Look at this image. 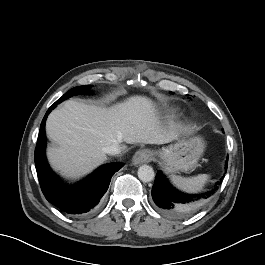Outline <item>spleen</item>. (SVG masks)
Instances as JSON below:
<instances>
[{
	"label": "spleen",
	"instance_id": "obj_1",
	"mask_svg": "<svg viewBox=\"0 0 265 265\" xmlns=\"http://www.w3.org/2000/svg\"><path fill=\"white\" fill-rule=\"evenodd\" d=\"M172 183L179 189L189 192L196 193L203 189L206 182L209 179L208 174H199L193 177H182L178 175H171Z\"/></svg>",
	"mask_w": 265,
	"mask_h": 265
}]
</instances>
